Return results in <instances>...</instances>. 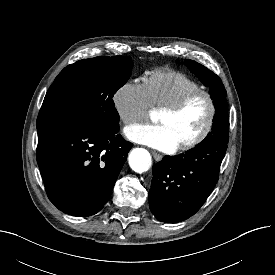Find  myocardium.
I'll list each match as a JSON object with an SVG mask.
<instances>
[{"label":"myocardium","instance_id":"f54148a6","mask_svg":"<svg viewBox=\"0 0 275 275\" xmlns=\"http://www.w3.org/2000/svg\"><path fill=\"white\" fill-rule=\"evenodd\" d=\"M199 96L205 97L208 103V116H207L206 123L198 135H196L194 138L188 141L180 143L177 146V149L179 150H187V149L193 148L206 139V137L209 135L214 125V121L217 113L216 101L210 92L203 89H196L185 94L175 103L159 109V112L177 114L181 112L193 99Z\"/></svg>","mask_w":275,"mask_h":275}]
</instances>
